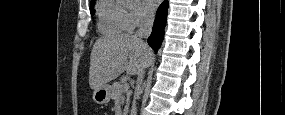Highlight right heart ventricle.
<instances>
[{
    "instance_id": "e07e8e85",
    "label": "right heart ventricle",
    "mask_w": 285,
    "mask_h": 115,
    "mask_svg": "<svg viewBox=\"0 0 285 115\" xmlns=\"http://www.w3.org/2000/svg\"><path fill=\"white\" fill-rule=\"evenodd\" d=\"M98 30L104 36L127 31V11L116 1H102L98 7Z\"/></svg>"
}]
</instances>
